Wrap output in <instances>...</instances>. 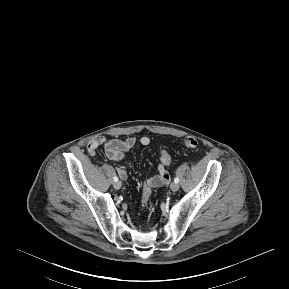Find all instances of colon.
<instances>
[{
	"label": "colon",
	"instance_id": "5ec220e1",
	"mask_svg": "<svg viewBox=\"0 0 289 289\" xmlns=\"http://www.w3.org/2000/svg\"><path fill=\"white\" fill-rule=\"evenodd\" d=\"M182 144L187 148H195L197 146V140L191 136H186L182 139ZM159 160L161 164L169 165L171 163V156L170 154L162 150L160 152ZM151 189L147 186H143L142 191V203L144 207H147L151 200Z\"/></svg>",
	"mask_w": 289,
	"mask_h": 289
}]
</instances>
